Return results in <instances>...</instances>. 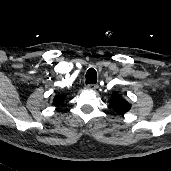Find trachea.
<instances>
[{
    "label": "trachea",
    "mask_w": 171,
    "mask_h": 171,
    "mask_svg": "<svg viewBox=\"0 0 171 171\" xmlns=\"http://www.w3.org/2000/svg\"><path fill=\"white\" fill-rule=\"evenodd\" d=\"M97 82V72L93 68H89L86 73V84H96Z\"/></svg>",
    "instance_id": "trachea-1"
}]
</instances>
